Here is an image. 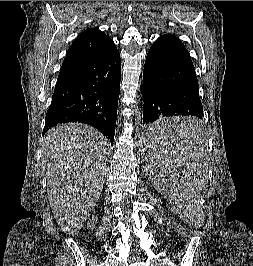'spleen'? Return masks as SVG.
Listing matches in <instances>:
<instances>
[{
    "mask_svg": "<svg viewBox=\"0 0 253 266\" xmlns=\"http://www.w3.org/2000/svg\"><path fill=\"white\" fill-rule=\"evenodd\" d=\"M143 132V168L149 169L155 187L165 188L162 198L180 210L182 223L195 229L205 184L207 141H201L202 123H196L194 115L173 113L172 117H157L156 123H143Z\"/></svg>",
    "mask_w": 253,
    "mask_h": 266,
    "instance_id": "3e777b00",
    "label": "spleen"
}]
</instances>
